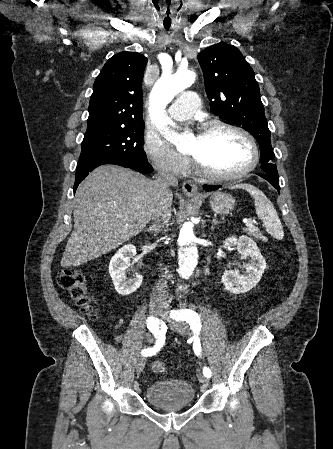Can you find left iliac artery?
I'll return each instance as SVG.
<instances>
[{
	"label": "left iliac artery",
	"mask_w": 333,
	"mask_h": 449,
	"mask_svg": "<svg viewBox=\"0 0 333 449\" xmlns=\"http://www.w3.org/2000/svg\"><path fill=\"white\" fill-rule=\"evenodd\" d=\"M171 317L177 321H186L191 329L194 332V336L192 338L193 342V350L197 356L201 355V344L199 339V333L201 330V320L199 315L191 310V309H183V310H172ZM203 374L205 377H211V370L209 367L205 366L203 368Z\"/></svg>",
	"instance_id": "obj_1"
}]
</instances>
